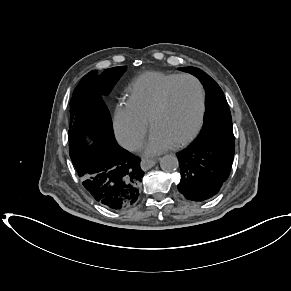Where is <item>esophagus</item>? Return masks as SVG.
<instances>
[{"instance_id":"obj_1","label":"esophagus","mask_w":291,"mask_h":291,"mask_svg":"<svg viewBox=\"0 0 291 291\" xmlns=\"http://www.w3.org/2000/svg\"><path fill=\"white\" fill-rule=\"evenodd\" d=\"M158 160L155 159H142L141 161V168L143 170H148L150 168H152Z\"/></svg>"}]
</instances>
